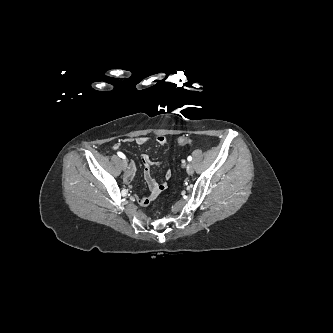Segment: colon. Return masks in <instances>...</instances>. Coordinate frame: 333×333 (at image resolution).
I'll list each match as a JSON object with an SVG mask.
<instances>
[{"label":"colon","instance_id":"obj_1","mask_svg":"<svg viewBox=\"0 0 333 333\" xmlns=\"http://www.w3.org/2000/svg\"><path fill=\"white\" fill-rule=\"evenodd\" d=\"M191 143V140L187 137H180L178 139V144L181 145V146H185V145H188Z\"/></svg>","mask_w":333,"mask_h":333}]
</instances>
